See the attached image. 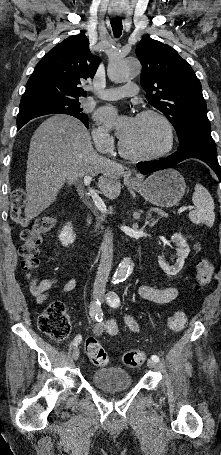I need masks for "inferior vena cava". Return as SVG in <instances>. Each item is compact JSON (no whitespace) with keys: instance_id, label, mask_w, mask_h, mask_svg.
<instances>
[{"instance_id":"obj_1","label":"inferior vena cava","mask_w":221,"mask_h":455,"mask_svg":"<svg viewBox=\"0 0 221 455\" xmlns=\"http://www.w3.org/2000/svg\"><path fill=\"white\" fill-rule=\"evenodd\" d=\"M113 257V234L109 228L106 230L103 236V242L101 244V260L98 267L94 287L106 286L109 272L112 266Z\"/></svg>"}]
</instances>
